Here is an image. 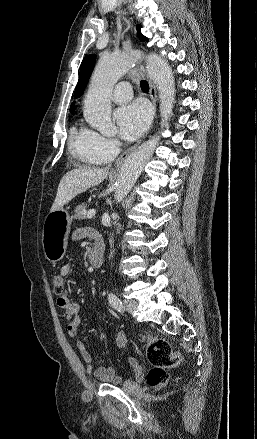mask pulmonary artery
Masks as SVG:
<instances>
[{
    "mask_svg": "<svg viewBox=\"0 0 257 439\" xmlns=\"http://www.w3.org/2000/svg\"><path fill=\"white\" fill-rule=\"evenodd\" d=\"M132 97L131 85L127 82L119 83L113 90L112 99L117 103H125Z\"/></svg>",
    "mask_w": 257,
    "mask_h": 439,
    "instance_id": "pulmonary-artery-1",
    "label": "pulmonary artery"
}]
</instances>
